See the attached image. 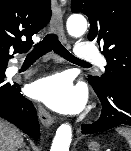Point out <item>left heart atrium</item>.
<instances>
[{
    "instance_id": "1",
    "label": "left heart atrium",
    "mask_w": 131,
    "mask_h": 151,
    "mask_svg": "<svg viewBox=\"0 0 131 151\" xmlns=\"http://www.w3.org/2000/svg\"><path fill=\"white\" fill-rule=\"evenodd\" d=\"M30 95L43 101L59 112H74L82 108L85 92L74 86L71 79L63 74L42 78L34 82L29 89Z\"/></svg>"
}]
</instances>
